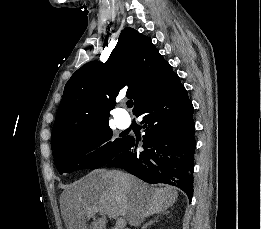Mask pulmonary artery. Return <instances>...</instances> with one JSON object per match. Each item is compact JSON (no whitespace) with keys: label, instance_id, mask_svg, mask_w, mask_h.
<instances>
[{"label":"pulmonary artery","instance_id":"obj_1","mask_svg":"<svg viewBox=\"0 0 261 229\" xmlns=\"http://www.w3.org/2000/svg\"><path fill=\"white\" fill-rule=\"evenodd\" d=\"M127 111L125 109L120 108L118 110V116L121 120H125L127 118Z\"/></svg>","mask_w":261,"mask_h":229}]
</instances>
